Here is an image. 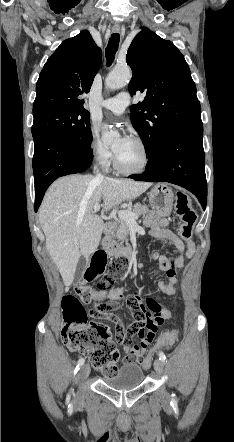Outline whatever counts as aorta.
I'll return each instance as SVG.
<instances>
[{
  "label": "aorta",
  "instance_id": "obj_1",
  "mask_svg": "<svg viewBox=\"0 0 234 442\" xmlns=\"http://www.w3.org/2000/svg\"><path fill=\"white\" fill-rule=\"evenodd\" d=\"M131 76V69L128 66L114 68L106 78V86L111 90L120 89L129 83ZM116 136L117 133L108 131L107 126L103 127V142L110 144Z\"/></svg>",
  "mask_w": 234,
  "mask_h": 442
}]
</instances>
